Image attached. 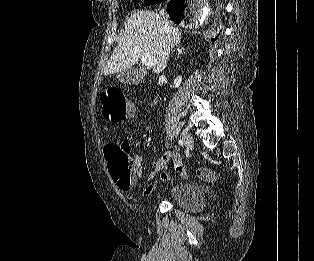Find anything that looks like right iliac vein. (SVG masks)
<instances>
[{
  "label": "right iliac vein",
  "mask_w": 314,
  "mask_h": 261,
  "mask_svg": "<svg viewBox=\"0 0 314 261\" xmlns=\"http://www.w3.org/2000/svg\"><path fill=\"white\" fill-rule=\"evenodd\" d=\"M182 138L186 146L188 148H192L194 141L191 134L187 130L182 131Z\"/></svg>",
  "instance_id": "63e3f726"
}]
</instances>
